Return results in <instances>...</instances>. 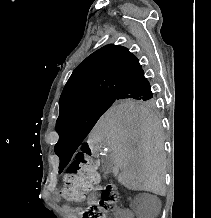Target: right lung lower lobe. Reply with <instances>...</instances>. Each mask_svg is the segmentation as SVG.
<instances>
[{"mask_svg":"<svg viewBox=\"0 0 211 218\" xmlns=\"http://www.w3.org/2000/svg\"><path fill=\"white\" fill-rule=\"evenodd\" d=\"M120 97H154L142 68L123 86Z\"/></svg>","mask_w":211,"mask_h":218,"instance_id":"right-lung-lower-lobe-1","label":"right lung lower lobe"}]
</instances>
